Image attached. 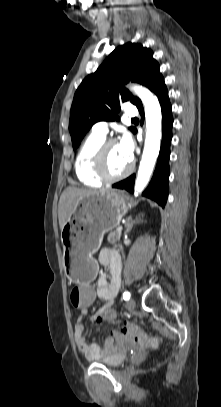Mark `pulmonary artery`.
<instances>
[{
    "label": "pulmonary artery",
    "instance_id": "pulmonary-artery-1",
    "mask_svg": "<svg viewBox=\"0 0 221 407\" xmlns=\"http://www.w3.org/2000/svg\"><path fill=\"white\" fill-rule=\"evenodd\" d=\"M125 111H126V114H127L129 117H135V116L138 115V110H137V108H136L135 106H133V105H128V106L126 107V110H125ZM92 132L97 133V134H99V135L106 136L107 133H108V123H107V122H104V121L97 122V123L93 126V128H92Z\"/></svg>",
    "mask_w": 221,
    "mask_h": 407
}]
</instances>
